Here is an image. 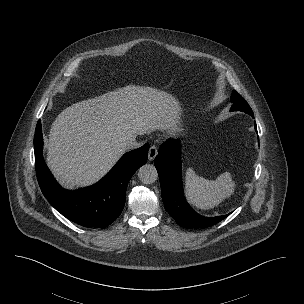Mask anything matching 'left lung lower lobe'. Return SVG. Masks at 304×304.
Here are the masks:
<instances>
[{"label":"left lung lower lobe","mask_w":304,"mask_h":304,"mask_svg":"<svg viewBox=\"0 0 304 304\" xmlns=\"http://www.w3.org/2000/svg\"><path fill=\"white\" fill-rule=\"evenodd\" d=\"M255 129L257 130L256 123ZM154 164L160 179L165 209L180 227L207 228L228 216L204 217L187 204L182 188L180 145L177 139H170L160 147Z\"/></svg>","instance_id":"1"}]
</instances>
